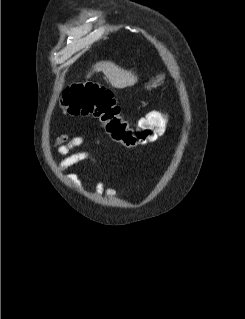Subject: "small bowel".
Segmentation results:
<instances>
[{
	"mask_svg": "<svg viewBox=\"0 0 245 319\" xmlns=\"http://www.w3.org/2000/svg\"><path fill=\"white\" fill-rule=\"evenodd\" d=\"M83 142L84 138L82 136L70 138L68 134L61 135L54 140V146L57 148L59 155L63 157L62 161L60 162V167L62 169L69 168L84 161H93L87 152L75 151L83 144ZM67 178L71 182L77 183V176L75 174H68ZM93 194H105L110 197H114L117 195V192L111 188H107L104 182L100 180L96 183Z\"/></svg>",
	"mask_w": 245,
	"mask_h": 319,
	"instance_id": "small-bowel-1",
	"label": "small bowel"
}]
</instances>
